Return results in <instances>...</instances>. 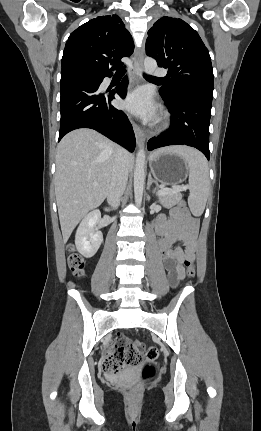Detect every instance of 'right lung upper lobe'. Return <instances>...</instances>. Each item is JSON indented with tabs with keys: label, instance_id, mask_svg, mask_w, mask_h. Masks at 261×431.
<instances>
[{
	"label": "right lung upper lobe",
	"instance_id": "cb5924a9",
	"mask_svg": "<svg viewBox=\"0 0 261 431\" xmlns=\"http://www.w3.org/2000/svg\"><path fill=\"white\" fill-rule=\"evenodd\" d=\"M134 50L133 39L117 15L97 17L73 31L66 42L61 73L81 70L110 74Z\"/></svg>",
	"mask_w": 261,
	"mask_h": 431
}]
</instances>
